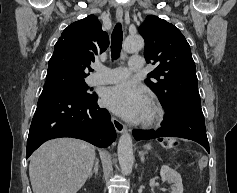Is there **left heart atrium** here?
Here are the masks:
<instances>
[{
  "label": "left heart atrium",
  "mask_w": 237,
  "mask_h": 193,
  "mask_svg": "<svg viewBox=\"0 0 237 193\" xmlns=\"http://www.w3.org/2000/svg\"><path fill=\"white\" fill-rule=\"evenodd\" d=\"M102 101L111 111L130 121L143 120L150 107L146 93L131 82H122L107 88Z\"/></svg>",
  "instance_id": "left-heart-atrium-1"
}]
</instances>
